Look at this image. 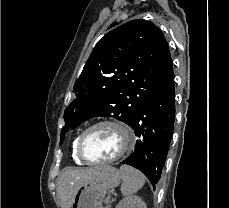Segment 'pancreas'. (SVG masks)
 Wrapping results in <instances>:
<instances>
[{
  "label": "pancreas",
  "mask_w": 229,
  "mask_h": 208,
  "mask_svg": "<svg viewBox=\"0 0 229 208\" xmlns=\"http://www.w3.org/2000/svg\"><path fill=\"white\" fill-rule=\"evenodd\" d=\"M104 204H108V208H109V202H108V200H105Z\"/></svg>",
  "instance_id": "pancreas-1"
}]
</instances>
